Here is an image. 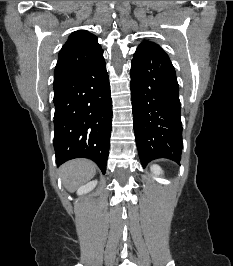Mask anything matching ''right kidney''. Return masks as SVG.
<instances>
[{
    "mask_svg": "<svg viewBox=\"0 0 233 266\" xmlns=\"http://www.w3.org/2000/svg\"><path fill=\"white\" fill-rule=\"evenodd\" d=\"M96 185H97V181L96 180L95 181H90L87 184L81 186L78 189L77 194L78 195L86 194V193L92 191L95 188Z\"/></svg>",
    "mask_w": 233,
    "mask_h": 266,
    "instance_id": "obj_1",
    "label": "right kidney"
}]
</instances>
